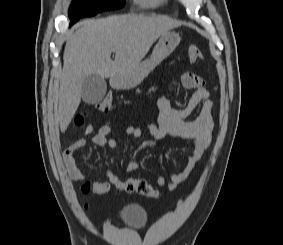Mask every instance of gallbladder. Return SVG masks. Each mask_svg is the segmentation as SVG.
<instances>
[{"label":"gallbladder","instance_id":"obj_1","mask_svg":"<svg viewBox=\"0 0 283 245\" xmlns=\"http://www.w3.org/2000/svg\"><path fill=\"white\" fill-rule=\"evenodd\" d=\"M107 90L105 79L97 74L87 76L81 88V96L86 104H96L104 98Z\"/></svg>","mask_w":283,"mask_h":245}]
</instances>
